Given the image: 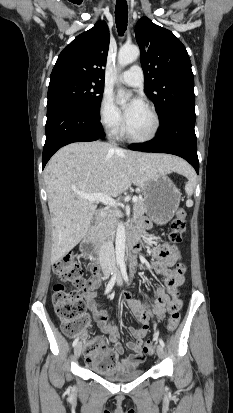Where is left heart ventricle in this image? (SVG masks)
Segmentation results:
<instances>
[{"mask_svg":"<svg viewBox=\"0 0 233 413\" xmlns=\"http://www.w3.org/2000/svg\"><path fill=\"white\" fill-rule=\"evenodd\" d=\"M130 134L136 137L147 136L153 127V120L149 111L142 107L127 121Z\"/></svg>","mask_w":233,"mask_h":413,"instance_id":"1","label":"left heart ventricle"}]
</instances>
